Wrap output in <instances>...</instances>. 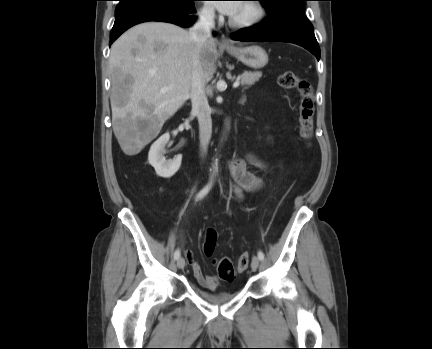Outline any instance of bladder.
Wrapping results in <instances>:
<instances>
[{
	"label": "bladder",
	"mask_w": 432,
	"mask_h": 349,
	"mask_svg": "<svg viewBox=\"0 0 432 349\" xmlns=\"http://www.w3.org/2000/svg\"><path fill=\"white\" fill-rule=\"evenodd\" d=\"M196 294L206 302L212 304H223L233 298V294L227 291H209L201 288H196Z\"/></svg>",
	"instance_id": "31cf9c89"
}]
</instances>
